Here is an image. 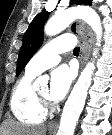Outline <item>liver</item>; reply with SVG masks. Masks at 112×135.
<instances>
[{"mask_svg":"<svg viewBox=\"0 0 112 135\" xmlns=\"http://www.w3.org/2000/svg\"><path fill=\"white\" fill-rule=\"evenodd\" d=\"M46 127H27L9 120L3 123L2 135H45Z\"/></svg>","mask_w":112,"mask_h":135,"instance_id":"1","label":"liver"}]
</instances>
